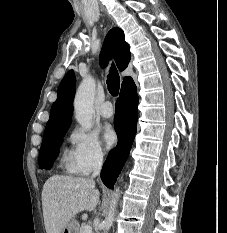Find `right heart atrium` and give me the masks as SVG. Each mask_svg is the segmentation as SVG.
<instances>
[{
    "instance_id": "1",
    "label": "right heart atrium",
    "mask_w": 227,
    "mask_h": 233,
    "mask_svg": "<svg viewBox=\"0 0 227 233\" xmlns=\"http://www.w3.org/2000/svg\"><path fill=\"white\" fill-rule=\"evenodd\" d=\"M68 142L65 162L69 172L87 175L102 166L105 151L96 134L77 127L70 132Z\"/></svg>"
}]
</instances>
